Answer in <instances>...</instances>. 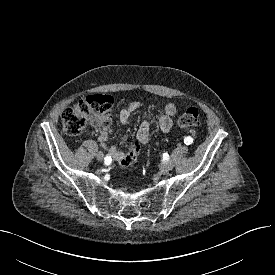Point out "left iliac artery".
<instances>
[{
	"instance_id": "44dca946",
	"label": "left iliac artery",
	"mask_w": 275,
	"mask_h": 275,
	"mask_svg": "<svg viewBox=\"0 0 275 275\" xmlns=\"http://www.w3.org/2000/svg\"><path fill=\"white\" fill-rule=\"evenodd\" d=\"M184 143L186 145H191L193 143V138L191 136H187L184 138Z\"/></svg>"
}]
</instances>
